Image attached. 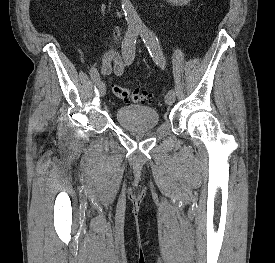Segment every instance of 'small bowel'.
<instances>
[{"label":"small bowel","instance_id":"1","mask_svg":"<svg viewBox=\"0 0 275 263\" xmlns=\"http://www.w3.org/2000/svg\"><path fill=\"white\" fill-rule=\"evenodd\" d=\"M112 72L118 76H122L125 73V64L114 48L104 54L100 67V73L102 75H109Z\"/></svg>","mask_w":275,"mask_h":263}]
</instances>
